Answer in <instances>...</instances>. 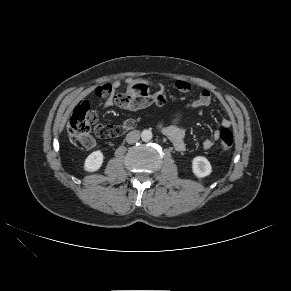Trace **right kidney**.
<instances>
[{"mask_svg":"<svg viewBox=\"0 0 291 291\" xmlns=\"http://www.w3.org/2000/svg\"><path fill=\"white\" fill-rule=\"evenodd\" d=\"M103 153L101 151L92 152L85 160L84 170L88 172H95L100 169L103 163Z\"/></svg>","mask_w":291,"mask_h":291,"instance_id":"right-kidney-1","label":"right kidney"}]
</instances>
